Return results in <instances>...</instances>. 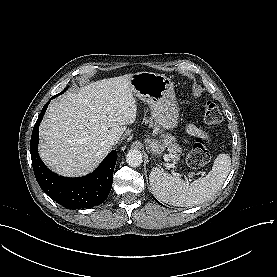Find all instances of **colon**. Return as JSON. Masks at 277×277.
<instances>
[{
  "instance_id": "colon-1",
  "label": "colon",
  "mask_w": 277,
  "mask_h": 277,
  "mask_svg": "<svg viewBox=\"0 0 277 277\" xmlns=\"http://www.w3.org/2000/svg\"><path fill=\"white\" fill-rule=\"evenodd\" d=\"M222 114L218 106L207 101L204 105V121L208 126H218L222 123ZM210 160L208 140L205 136L198 137L187 156V163L192 169L205 166Z\"/></svg>"
}]
</instances>
